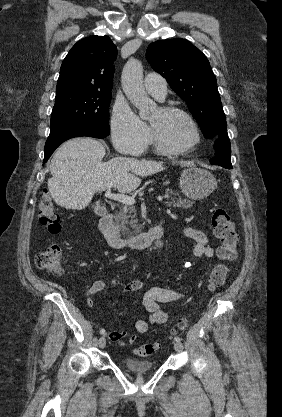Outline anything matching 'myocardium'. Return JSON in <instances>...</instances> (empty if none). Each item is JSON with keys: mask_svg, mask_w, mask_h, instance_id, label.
<instances>
[{"mask_svg": "<svg viewBox=\"0 0 282 417\" xmlns=\"http://www.w3.org/2000/svg\"><path fill=\"white\" fill-rule=\"evenodd\" d=\"M159 110L166 115H178L182 117L188 124L191 132L192 139L189 143L181 146H171L166 144L162 138L158 135L155 129L149 124V130L156 146L164 152L168 153H183L189 150H192L200 143V133L195 121L192 117L185 111L175 108V107H160Z\"/></svg>", "mask_w": 282, "mask_h": 417, "instance_id": "myocardium-1", "label": "myocardium"}]
</instances>
